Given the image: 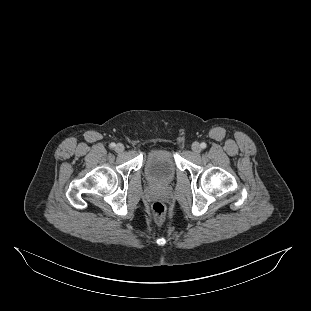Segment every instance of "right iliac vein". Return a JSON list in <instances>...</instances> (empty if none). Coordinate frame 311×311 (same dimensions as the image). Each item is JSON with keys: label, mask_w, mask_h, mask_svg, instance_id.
I'll list each match as a JSON object with an SVG mask.
<instances>
[{"label": "right iliac vein", "mask_w": 311, "mask_h": 311, "mask_svg": "<svg viewBox=\"0 0 311 311\" xmlns=\"http://www.w3.org/2000/svg\"><path fill=\"white\" fill-rule=\"evenodd\" d=\"M124 149H125V148H124V145L121 144V143H118V144L116 145V147H115V151L118 152V153L123 152Z\"/></svg>", "instance_id": "obj_1"}]
</instances>
